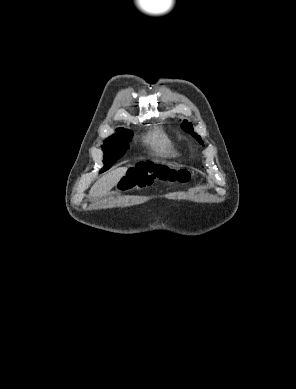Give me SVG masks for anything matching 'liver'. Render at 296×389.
<instances>
[{
	"label": "liver",
	"mask_w": 296,
	"mask_h": 389,
	"mask_svg": "<svg viewBox=\"0 0 296 389\" xmlns=\"http://www.w3.org/2000/svg\"><path fill=\"white\" fill-rule=\"evenodd\" d=\"M126 172V167H120L98 179L90 189L89 198L95 199L107 194L125 176Z\"/></svg>",
	"instance_id": "1"
}]
</instances>
